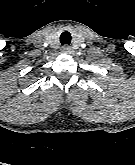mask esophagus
Returning <instances> with one entry per match:
<instances>
[{
	"label": "esophagus",
	"mask_w": 135,
	"mask_h": 165,
	"mask_svg": "<svg viewBox=\"0 0 135 165\" xmlns=\"http://www.w3.org/2000/svg\"><path fill=\"white\" fill-rule=\"evenodd\" d=\"M71 50H72L71 47L68 46V45H64V46L62 47V52L65 53V54L71 53Z\"/></svg>",
	"instance_id": "esophagus-1"
}]
</instances>
